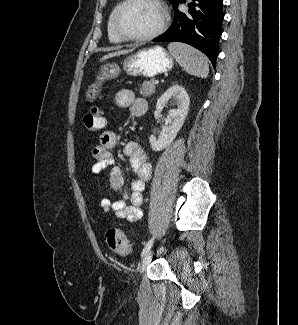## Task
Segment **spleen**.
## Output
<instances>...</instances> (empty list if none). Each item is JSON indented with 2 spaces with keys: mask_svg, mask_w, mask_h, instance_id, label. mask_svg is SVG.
Returning <instances> with one entry per match:
<instances>
[{
  "mask_svg": "<svg viewBox=\"0 0 298 325\" xmlns=\"http://www.w3.org/2000/svg\"><path fill=\"white\" fill-rule=\"evenodd\" d=\"M168 50L177 60L179 66H183L189 74L207 78L210 68L205 54H202L190 44H184V42H170Z\"/></svg>",
  "mask_w": 298,
  "mask_h": 325,
  "instance_id": "spleen-1",
  "label": "spleen"
}]
</instances>
